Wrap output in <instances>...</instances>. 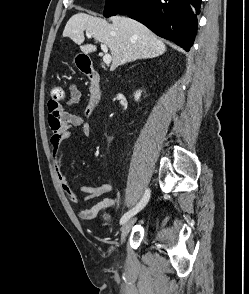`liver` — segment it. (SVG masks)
<instances>
[{
	"instance_id": "liver-1",
	"label": "liver",
	"mask_w": 249,
	"mask_h": 294,
	"mask_svg": "<svg viewBox=\"0 0 249 294\" xmlns=\"http://www.w3.org/2000/svg\"><path fill=\"white\" fill-rule=\"evenodd\" d=\"M110 21L112 23L86 13H77L68 20L63 37H69L80 45L81 51L88 54L95 52L97 47L82 45L85 40L84 31L93 35L95 40L109 47L112 55L111 71L125 63L165 53V44L141 23L121 16L112 17Z\"/></svg>"
}]
</instances>
